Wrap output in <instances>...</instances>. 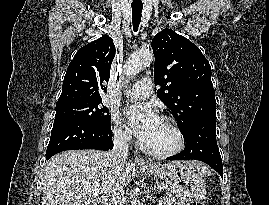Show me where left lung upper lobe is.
Instances as JSON below:
<instances>
[{
    "label": "left lung upper lobe",
    "instance_id": "5c2ea615",
    "mask_svg": "<svg viewBox=\"0 0 269 205\" xmlns=\"http://www.w3.org/2000/svg\"><path fill=\"white\" fill-rule=\"evenodd\" d=\"M155 55L154 81L158 98L171 110L182 135L196 123L216 120L211 67L200 49L171 29L151 43Z\"/></svg>",
    "mask_w": 269,
    "mask_h": 205
}]
</instances>
